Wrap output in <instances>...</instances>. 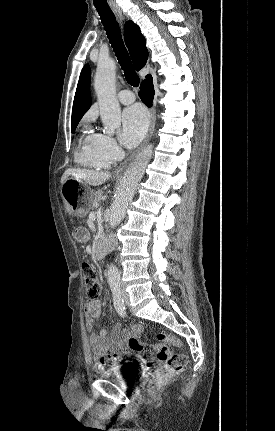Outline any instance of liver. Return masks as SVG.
Returning <instances> with one entry per match:
<instances>
[{"label":"liver","mask_w":275,"mask_h":431,"mask_svg":"<svg viewBox=\"0 0 275 431\" xmlns=\"http://www.w3.org/2000/svg\"><path fill=\"white\" fill-rule=\"evenodd\" d=\"M69 176L83 180L92 186H99L104 184L110 177L109 172L81 170V169H67L61 178V184L69 178Z\"/></svg>","instance_id":"liver-1"}]
</instances>
